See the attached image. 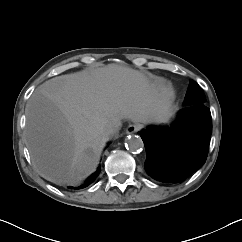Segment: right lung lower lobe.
Here are the masks:
<instances>
[{
    "label": "right lung lower lobe",
    "instance_id": "obj_1",
    "mask_svg": "<svg viewBox=\"0 0 242 242\" xmlns=\"http://www.w3.org/2000/svg\"><path fill=\"white\" fill-rule=\"evenodd\" d=\"M100 172V167L97 169V171L95 173H93L86 181L83 185L79 186V187H72V186H69L68 188L69 189H80V188H84V187H87L89 184H91L95 179L96 177L98 176Z\"/></svg>",
    "mask_w": 242,
    "mask_h": 242
}]
</instances>
